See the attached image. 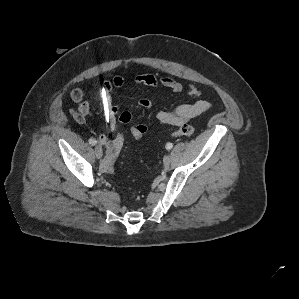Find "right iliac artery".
Masks as SVG:
<instances>
[{
    "label": "right iliac artery",
    "mask_w": 299,
    "mask_h": 299,
    "mask_svg": "<svg viewBox=\"0 0 299 299\" xmlns=\"http://www.w3.org/2000/svg\"><path fill=\"white\" fill-rule=\"evenodd\" d=\"M96 143L97 141L94 138L89 139V144H91L92 146L95 145Z\"/></svg>",
    "instance_id": "1"
}]
</instances>
